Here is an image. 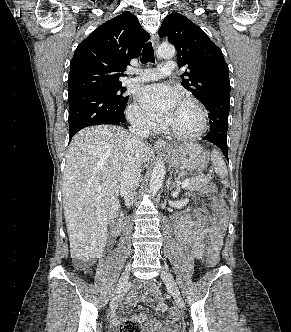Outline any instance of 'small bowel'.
I'll return each instance as SVG.
<instances>
[{"mask_svg": "<svg viewBox=\"0 0 291 332\" xmlns=\"http://www.w3.org/2000/svg\"><path fill=\"white\" fill-rule=\"evenodd\" d=\"M176 234L179 243L185 248L186 252L191 258L202 259L205 255V240L208 239L212 248L219 249L222 243L223 230L216 224V222L206 216L195 223L188 221H179L176 225ZM136 298V291H131L128 296V301L133 302ZM143 299L154 302L158 311L166 310V305L160 299L157 290L150 286L145 292ZM133 320L144 323L149 332H171L173 325L170 321L161 324L155 321L150 322L146 314H138L131 317ZM115 322L119 321L116 316Z\"/></svg>", "mask_w": 291, "mask_h": 332, "instance_id": "obj_1", "label": "small bowel"}]
</instances>
